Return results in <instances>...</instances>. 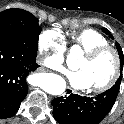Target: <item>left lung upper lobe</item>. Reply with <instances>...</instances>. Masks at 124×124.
Here are the masks:
<instances>
[{
    "mask_svg": "<svg viewBox=\"0 0 124 124\" xmlns=\"http://www.w3.org/2000/svg\"><path fill=\"white\" fill-rule=\"evenodd\" d=\"M102 30L107 35H110V31L107 30L106 28H103ZM110 37L113 39V37L111 35H110ZM116 48H117V51H118V54H119V58H120L121 70H120V77L116 81L114 87H117L119 89L120 88L121 79H122V67H123V63H124V55H123V51H122L120 45L117 42H116Z\"/></svg>",
    "mask_w": 124,
    "mask_h": 124,
    "instance_id": "1",
    "label": "left lung upper lobe"
}]
</instances>
